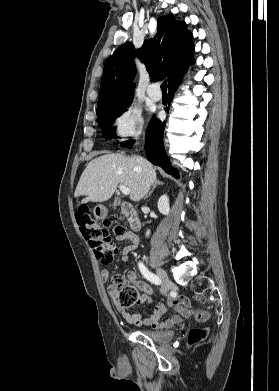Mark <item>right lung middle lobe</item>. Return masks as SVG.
I'll return each mask as SVG.
<instances>
[{
	"label": "right lung middle lobe",
	"mask_w": 279,
	"mask_h": 391,
	"mask_svg": "<svg viewBox=\"0 0 279 391\" xmlns=\"http://www.w3.org/2000/svg\"><path fill=\"white\" fill-rule=\"evenodd\" d=\"M131 103L123 106L106 109L102 112L97 113V121L104 124L102 128L103 136L111 139L115 138V128L112 126L115 119L130 106Z\"/></svg>",
	"instance_id": "obj_1"
}]
</instances>
